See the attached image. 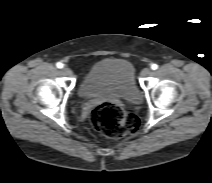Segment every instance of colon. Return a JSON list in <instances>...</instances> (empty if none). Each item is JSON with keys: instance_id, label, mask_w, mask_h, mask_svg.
Here are the masks:
<instances>
[{"instance_id": "5ec220e1", "label": "colon", "mask_w": 212, "mask_h": 183, "mask_svg": "<svg viewBox=\"0 0 212 183\" xmlns=\"http://www.w3.org/2000/svg\"><path fill=\"white\" fill-rule=\"evenodd\" d=\"M93 127L110 138H121L133 134L140 127L139 118L126 112L114 102L105 101L97 104L90 113Z\"/></svg>"}]
</instances>
